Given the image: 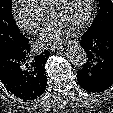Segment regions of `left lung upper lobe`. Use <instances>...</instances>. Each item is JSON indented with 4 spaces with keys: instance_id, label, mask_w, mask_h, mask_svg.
Listing matches in <instances>:
<instances>
[{
    "instance_id": "left-lung-upper-lobe-1",
    "label": "left lung upper lobe",
    "mask_w": 113,
    "mask_h": 113,
    "mask_svg": "<svg viewBox=\"0 0 113 113\" xmlns=\"http://www.w3.org/2000/svg\"><path fill=\"white\" fill-rule=\"evenodd\" d=\"M100 11L86 32L96 33L113 25V3L111 0H99Z\"/></svg>"
}]
</instances>
